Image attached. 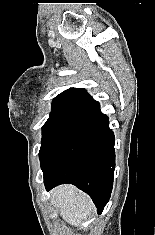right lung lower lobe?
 Segmentation results:
<instances>
[{
  "mask_svg": "<svg viewBox=\"0 0 155 235\" xmlns=\"http://www.w3.org/2000/svg\"><path fill=\"white\" fill-rule=\"evenodd\" d=\"M94 105L98 121L70 142L54 162L43 171L47 190L70 183L86 192L101 213L109 201L115 169L114 134L108 117Z\"/></svg>",
  "mask_w": 155,
  "mask_h": 235,
  "instance_id": "1",
  "label": "right lung lower lobe"
}]
</instances>
